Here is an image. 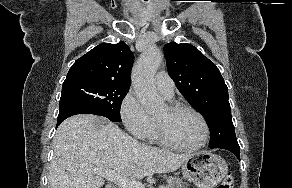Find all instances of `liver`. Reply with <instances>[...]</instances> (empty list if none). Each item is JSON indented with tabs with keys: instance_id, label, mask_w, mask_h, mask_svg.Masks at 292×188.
Listing matches in <instances>:
<instances>
[{
	"instance_id": "6515ba94",
	"label": "liver",
	"mask_w": 292,
	"mask_h": 188,
	"mask_svg": "<svg viewBox=\"0 0 292 188\" xmlns=\"http://www.w3.org/2000/svg\"><path fill=\"white\" fill-rule=\"evenodd\" d=\"M53 144L47 188H100L104 179L93 169L142 179L175 171L191 156L139 143L108 119L90 114L61 123Z\"/></svg>"
}]
</instances>
